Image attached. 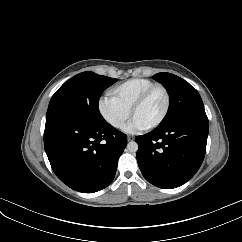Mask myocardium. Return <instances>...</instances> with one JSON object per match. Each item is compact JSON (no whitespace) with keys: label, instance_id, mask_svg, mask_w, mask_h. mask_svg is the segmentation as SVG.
<instances>
[{"label":"myocardium","instance_id":"1","mask_svg":"<svg viewBox=\"0 0 242 242\" xmlns=\"http://www.w3.org/2000/svg\"><path fill=\"white\" fill-rule=\"evenodd\" d=\"M161 90L164 94L165 97V106L163 109V112L161 114V116L159 117V119L154 122L153 124H151L150 126H148L146 129L148 130H152L155 129L157 127H159L164 120L166 119L169 109H170V105H171V96L170 93L168 91V89L162 85V84H154L151 87H149L148 89H146L132 104L131 109H130V114L133 117L135 111L147 100V98L152 94V92H154L155 90Z\"/></svg>","mask_w":242,"mask_h":242}]
</instances>
